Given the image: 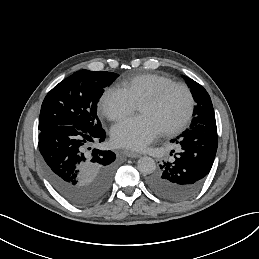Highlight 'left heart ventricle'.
Segmentation results:
<instances>
[{
    "mask_svg": "<svg viewBox=\"0 0 259 259\" xmlns=\"http://www.w3.org/2000/svg\"><path fill=\"white\" fill-rule=\"evenodd\" d=\"M187 98L180 89L173 90L157 105L140 104L137 108L140 116L151 119L161 131L175 125L185 114Z\"/></svg>",
    "mask_w": 259,
    "mask_h": 259,
    "instance_id": "obj_1",
    "label": "left heart ventricle"
}]
</instances>
